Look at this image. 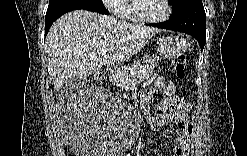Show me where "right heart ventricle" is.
<instances>
[{
	"label": "right heart ventricle",
	"mask_w": 247,
	"mask_h": 156,
	"mask_svg": "<svg viewBox=\"0 0 247 156\" xmlns=\"http://www.w3.org/2000/svg\"><path fill=\"white\" fill-rule=\"evenodd\" d=\"M121 15H126V6L125 5H124L123 13Z\"/></svg>",
	"instance_id": "right-heart-ventricle-1"
}]
</instances>
